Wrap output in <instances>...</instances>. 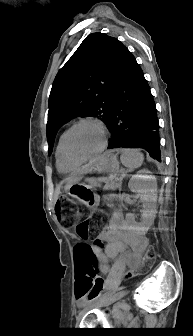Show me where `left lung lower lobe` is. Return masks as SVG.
I'll list each match as a JSON object with an SVG mask.
<instances>
[{"label":"left lung lower lobe","instance_id":"left-lung-lower-lobe-1","mask_svg":"<svg viewBox=\"0 0 193 336\" xmlns=\"http://www.w3.org/2000/svg\"><path fill=\"white\" fill-rule=\"evenodd\" d=\"M108 149L143 148L161 161L159 123L150 87L135 57L127 49L107 122Z\"/></svg>","mask_w":193,"mask_h":336}]
</instances>
